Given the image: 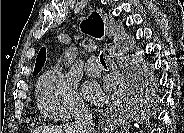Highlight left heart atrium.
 Instances as JSON below:
<instances>
[{
    "instance_id": "left-heart-atrium-1",
    "label": "left heart atrium",
    "mask_w": 184,
    "mask_h": 133,
    "mask_svg": "<svg viewBox=\"0 0 184 133\" xmlns=\"http://www.w3.org/2000/svg\"><path fill=\"white\" fill-rule=\"evenodd\" d=\"M82 93L87 100L95 103H99L103 98L99 86L94 82H86L83 85Z\"/></svg>"
}]
</instances>
